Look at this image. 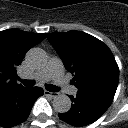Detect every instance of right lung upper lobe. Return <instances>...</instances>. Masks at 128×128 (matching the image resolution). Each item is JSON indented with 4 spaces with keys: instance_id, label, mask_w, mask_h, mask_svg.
<instances>
[{
    "instance_id": "1",
    "label": "right lung upper lobe",
    "mask_w": 128,
    "mask_h": 128,
    "mask_svg": "<svg viewBox=\"0 0 128 128\" xmlns=\"http://www.w3.org/2000/svg\"><path fill=\"white\" fill-rule=\"evenodd\" d=\"M46 34L26 32L18 29L0 32V100L17 88L16 68L26 52L40 43Z\"/></svg>"
}]
</instances>
